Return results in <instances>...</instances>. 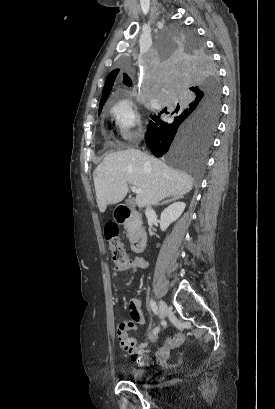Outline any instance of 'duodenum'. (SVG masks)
Instances as JSON below:
<instances>
[{
  "label": "duodenum",
  "instance_id": "410a0bca",
  "mask_svg": "<svg viewBox=\"0 0 275 409\" xmlns=\"http://www.w3.org/2000/svg\"><path fill=\"white\" fill-rule=\"evenodd\" d=\"M115 220L119 224H131L130 242L134 252H142L146 246L147 233L142 225L140 214L128 207L127 205H119L114 213Z\"/></svg>",
  "mask_w": 275,
  "mask_h": 409
}]
</instances>
